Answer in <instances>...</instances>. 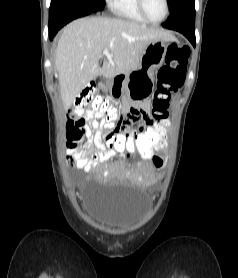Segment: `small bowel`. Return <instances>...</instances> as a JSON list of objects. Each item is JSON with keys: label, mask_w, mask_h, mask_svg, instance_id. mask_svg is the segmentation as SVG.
<instances>
[{"label": "small bowel", "mask_w": 238, "mask_h": 278, "mask_svg": "<svg viewBox=\"0 0 238 278\" xmlns=\"http://www.w3.org/2000/svg\"><path fill=\"white\" fill-rule=\"evenodd\" d=\"M72 113L67 115L66 123L72 119ZM107 118L101 114H94L93 119L88 124L85 123L84 136L85 141L82 146L78 142L82 140H72V145L68 146L70 154L76 161L79 170L90 172L99 164L108 162L112 157L119 153H112L111 156H102L100 149L98 133L105 124ZM149 124H156L153 115L149 111L147 103L126 105L123 118L119 126L118 137H145ZM166 130V129H158ZM67 135V132H66ZM165 136V135H163ZM68 139V138H67ZM69 141V140H68Z\"/></svg>", "instance_id": "c3829d8e"}]
</instances>
